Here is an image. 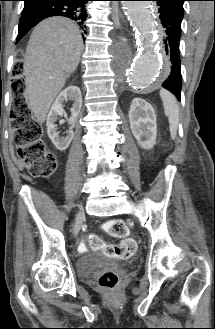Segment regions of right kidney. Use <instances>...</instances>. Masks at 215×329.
I'll return each mask as SVG.
<instances>
[{
  "label": "right kidney",
  "mask_w": 215,
  "mask_h": 329,
  "mask_svg": "<svg viewBox=\"0 0 215 329\" xmlns=\"http://www.w3.org/2000/svg\"><path fill=\"white\" fill-rule=\"evenodd\" d=\"M67 100H73L74 103L73 107L71 108V117L68 120V124L70 125L69 131L66 137H61L59 135V132L57 131V125L55 124V122L57 121L58 116H63V114L65 113L63 109V103ZM81 107L82 96L80 88L73 85L68 86L66 89H64L54 101L51 110L47 116L46 126L48 136L58 150L64 151L70 145L74 136L72 129L75 126V122L80 113Z\"/></svg>",
  "instance_id": "right-kidney-1"
}]
</instances>
